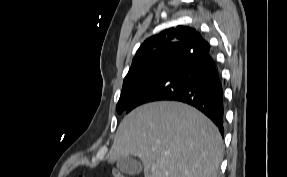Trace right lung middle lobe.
<instances>
[{"label": "right lung middle lobe", "mask_w": 287, "mask_h": 177, "mask_svg": "<svg viewBox=\"0 0 287 177\" xmlns=\"http://www.w3.org/2000/svg\"><path fill=\"white\" fill-rule=\"evenodd\" d=\"M180 61L179 57L170 56L124 78L117 112L125 111L150 84Z\"/></svg>", "instance_id": "1"}]
</instances>
